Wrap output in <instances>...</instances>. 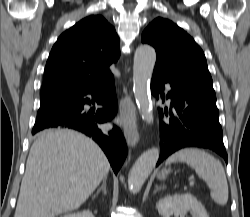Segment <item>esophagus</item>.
<instances>
[{"label": "esophagus", "mask_w": 250, "mask_h": 217, "mask_svg": "<svg viewBox=\"0 0 250 217\" xmlns=\"http://www.w3.org/2000/svg\"><path fill=\"white\" fill-rule=\"evenodd\" d=\"M135 114V105L131 95L126 94L120 101V116L126 142L128 146L135 147L139 141V133L136 125L130 121Z\"/></svg>", "instance_id": "1"}]
</instances>
